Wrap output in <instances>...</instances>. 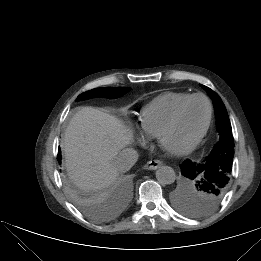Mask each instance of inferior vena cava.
<instances>
[{"instance_id": "inferior-vena-cava-1", "label": "inferior vena cava", "mask_w": 261, "mask_h": 261, "mask_svg": "<svg viewBox=\"0 0 261 261\" xmlns=\"http://www.w3.org/2000/svg\"><path fill=\"white\" fill-rule=\"evenodd\" d=\"M138 153L132 148L123 149L115 158L114 166L118 172H126L132 168V166L138 160Z\"/></svg>"}]
</instances>
